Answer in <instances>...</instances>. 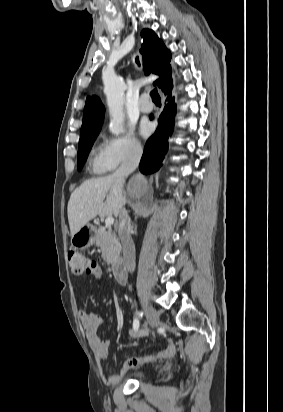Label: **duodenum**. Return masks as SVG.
<instances>
[{
    "instance_id": "duodenum-1",
    "label": "duodenum",
    "mask_w": 283,
    "mask_h": 412,
    "mask_svg": "<svg viewBox=\"0 0 283 412\" xmlns=\"http://www.w3.org/2000/svg\"><path fill=\"white\" fill-rule=\"evenodd\" d=\"M112 270L117 283L120 285H124L127 281V273L124 263L119 260L115 261L113 263Z\"/></svg>"
}]
</instances>
